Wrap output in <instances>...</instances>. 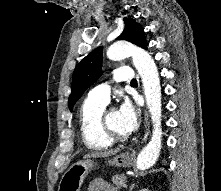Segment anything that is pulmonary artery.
<instances>
[{
  "label": "pulmonary artery",
  "mask_w": 221,
  "mask_h": 191,
  "mask_svg": "<svg viewBox=\"0 0 221 191\" xmlns=\"http://www.w3.org/2000/svg\"><path fill=\"white\" fill-rule=\"evenodd\" d=\"M114 77L116 81L130 83L134 79V72L130 67H121L115 70ZM87 98L107 104L110 100V86L108 84L96 86L89 91Z\"/></svg>",
  "instance_id": "obj_1"
}]
</instances>
